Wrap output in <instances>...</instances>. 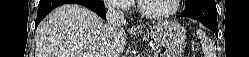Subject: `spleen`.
Wrapping results in <instances>:
<instances>
[{"label": "spleen", "mask_w": 249, "mask_h": 57, "mask_svg": "<svg viewBox=\"0 0 249 57\" xmlns=\"http://www.w3.org/2000/svg\"><path fill=\"white\" fill-rule=\"evenodd\" d=\"M197 35L201 39V43L204 45V48H205L206 43H207V37H206L205 33L201 29H198L197 30ZM205 57H214V56H213L212 52H210L207 49V50H205Z\"/></svg>", "instance_id": "3e777b00"}]
</instances>
